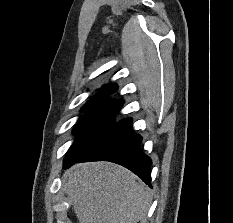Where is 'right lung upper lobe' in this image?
Here are the masks:
<instances>
[{"mask_svg":"<svg viewBox=\"0 0 233 223\" xmlns=\"http://www.w3.org/2000/svg\"><path fill=\"white\" fill-rule=\"evenodd\" d=\"M117 90V86L115 84H111V85H105L103 86L97 94H112Z\"/></svg>","mask_w":233,"mask_h":223,"instance_id":"1","label":"right lung upper lobe"}]
</instances>
